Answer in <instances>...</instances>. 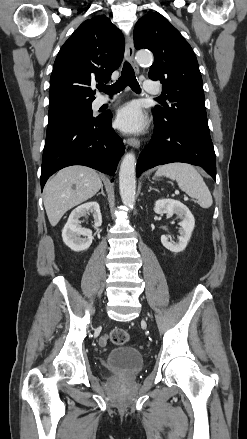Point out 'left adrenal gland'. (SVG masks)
<instances>
[{
    "mask_svg": "<svg viewBox=\"0 0 247 439\" xmlns=\"http://www.w3.org/2000/svg\"><path fill=\"white\" fill-rule=\"evenodd\" d=\"M152 190H155V191L159 192L158 189H156V188H152V187L150 186L148 192H151Z\"/></svg>",
    "mask_w": 247,
    "mask_h": 439,
    "instance_id": "a2214340",
    "label": "left adrenal gland"
}]
</instances>
